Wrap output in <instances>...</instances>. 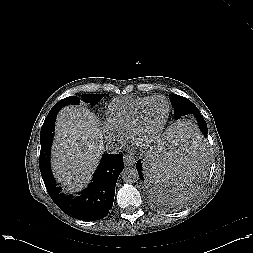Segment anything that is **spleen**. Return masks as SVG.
Listing matches in <instances>:
<instances>
[{"label":"spleen","instance_id":"spleen-1","mask_svg":"<svg viewBox=\"0 0 253 253\" xmlns=\"http://www.w3.org/2000/svg\"><path fill=\"white\" fill-rule=\"evenodd\" d=\"M207 165L200 130L191 121L179 120L169 127L145 162L142 184L160 202L180 204L201 188Z\"/></svg>","mask_w":253,"mask_h":253}]
</instances>
